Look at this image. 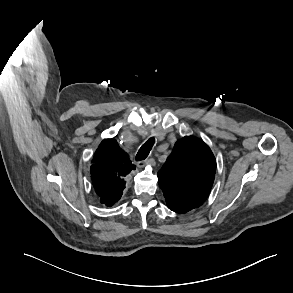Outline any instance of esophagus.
I'll list each match as a JSON object with an SVG mask.
<instances>
[{
  "instance_id": "esophagus-1",
  "label": "esophagus",
  "mask_w": 293,
  "mask_h": 293,
  "mask_svg": "<svg viewBox=\"0 0 293 293\" xmlns=\"http://www.w3.org/2000/svg\"><path fill=\"white\" fill-rule=\"evenodd\" d=\"M147 165H150V166L154 165V159L149 158V159H146V160L141 161V162L138 163V167H140V168H143V167H145Z\"/></svg>"
}]
</instances>
